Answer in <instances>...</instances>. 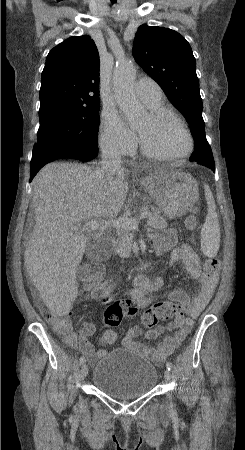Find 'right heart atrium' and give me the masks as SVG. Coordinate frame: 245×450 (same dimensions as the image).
<instances>
[{
	"instance_id": "right-heart-atrium-1",
	"label": "right heart atrium",
	"mask_w": 245,
	"mask_h": 450,
	"mask_svg": "<svg viewBox=\"0 0 245 450\" xmlns=\"http://www.w3.org/2000/svg\"><path fill=\"white\" fill-rule=\"evenodd\" d=\"M99 144L101 149L112 156H125L136 150L135 134L114 112L102 114Z\"/></svg>"
}]
</instances>
